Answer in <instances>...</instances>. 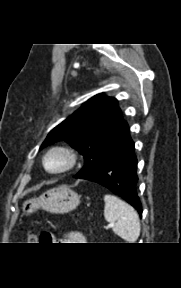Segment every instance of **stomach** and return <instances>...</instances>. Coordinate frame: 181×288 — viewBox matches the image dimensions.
<instances>
[{
	"instance_id": "1",
	"label": "stomach",
	"mask_w": 181,
	"mask_h": 288,
	"mask_svg": "<svg viewBox=\"0 0 181 288\" xmlns=\"http://www.w3.org/2000/svg\"><path fill=\"white\" fill-rule=\"evenodd\" d=\"M80 204V196L68 186L61 185L50 189L38 198L27 199L22 204L23 215H29L38 209L50 213L64 214L74 210Z\"/></svg>"
}]
</instances>
